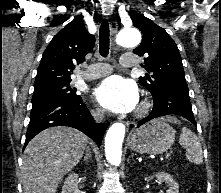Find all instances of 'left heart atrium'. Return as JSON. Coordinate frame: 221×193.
I'll use <instances>...</instances> for the list:
<instances>
[{
	"label": "left heart atrium",
	"mask_w": 221,
	"mask_h": 193,
	"mask_svg": "<svg viewBox=\"0 0 221 193\" xmlns=\"http://www.w3.org/2000/svg\"><path fill=\"white\" fill-rule=\"evenodd\" d=\"M96 101L113 113H128L137 106L139 95L136 85L121 76H111L94 91Z\"/></svg>",
	"instance_id": "obj_1"
}]
</instances>
